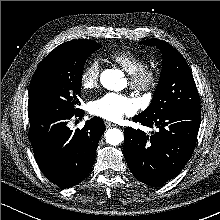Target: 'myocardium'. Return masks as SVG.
I'll list each match as a JSON object with an SVG mask.
<instances>
[{
	"label": "myocardium",
	"mask_w": 220,
	"mask_h": 220,
	"mask_svg": "<svg viewBox=\"0 0 220 220\" xmlns=\"http://www.w3.org/2000/svg\"><path fill=\"white\" fill-rule=\"evenodd\" d=\"M130 86L139 93H150L157 87L160 71L154 66H145L130 75Z\"/></svg>",
	"instance_id": "f54148a6"
}]
</instances>
